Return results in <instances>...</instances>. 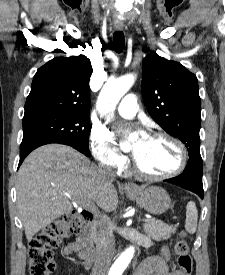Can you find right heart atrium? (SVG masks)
Wrapping results in <instances>:
<instances>
[{
  "instance_id": "obj_1",
  "label": "right heart atrium",
  "mask_w": 225,
  "mask_h": 275,
  "mask_svg": "<svg viewBox=\"0 0 225 275\" xmlns=\"http://www.w3.org/2000/svg\"><path fill=\"white\" fill-rule=\"evenodd\" d=\"M90 148L97 161L105 167L120 170L128 164L127 157L115 147L110 133L100 126L91 129Z\"/></svg>"
}]
</instances>
